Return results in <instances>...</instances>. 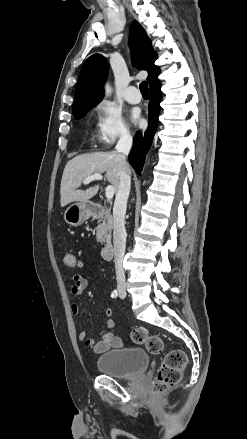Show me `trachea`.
I'll use <instances>...</instances> for the list:
<instances>
[{"label": "trachea", "mask_w": 247, "mask_h": 439, "mask_svg": "<svg viewBox=\"0 0 247 439\" xmlns=\"http://www.w3.org/2000/svg\"><path fill=\"white\" fill-rule=\"evenodd\" d=\"M139 88L143 96H149L148 83L146 81L141 82Z\"/></svg>", "instance_id": "1"}]
</instances>
